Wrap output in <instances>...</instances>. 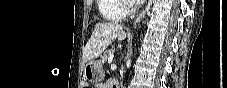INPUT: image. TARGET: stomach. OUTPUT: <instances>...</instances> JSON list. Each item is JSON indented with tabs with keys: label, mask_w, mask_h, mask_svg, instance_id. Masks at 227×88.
Returning a JSON list of instances; mask_svg holds the SVG:
<instances>
[{
	"label": "stomach",
	"mask_w": 227,
	"mask_h": 88,
	"mask_svg": "<svg viewBox=\"0 0 227 88\" xmlns=\"http://www.w3.org/2000/svg\"><path fill=\"white\" fill-rule=\"evenodd\" d=\"M84 75L91 83L102 81L105 75L102 62L99 60L88 62L84 69Z\"/></svg>",
	"instance_id": "obj_1"
}]
</instances>
